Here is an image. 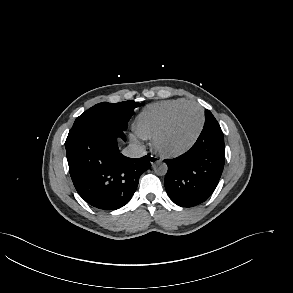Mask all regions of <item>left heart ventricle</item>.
<instances>
[{"instance_id":"b2bd125f","label":"left heart ventricle","mask_w":293,"mask_h":293,"mask_svg":"<svg viewBox=\"0 0 293 293\" xmlns=\"http://www.w3.org/2000/svg\"><path fill=\"white\" fill-rule=\"evenodd\" d=\"M201 122L200 111L195 107L183 108L174 118L160 140L166 150H178L186 146L195 136Z\"/></svg>"}]
</instances>
